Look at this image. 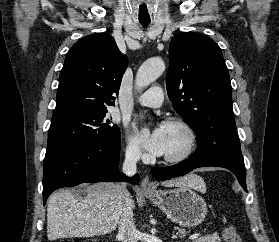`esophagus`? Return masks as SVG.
I'll return each mask as SVG.
<instances>
[{"label": "esophagus", "instance_id": "1", "mask_svg": "<svg viewBox=\"0 0 279 242\" xmlns=\"http://www.w3.org/2000/svg\"><path fill=\"white\" fill-rule=\"evenodd\" d=\"M141 190L143 192H153L156 190L155 185L149 180L148 177H144L141 182Z\"/></svg>", "mask_w": 279, "mask_h": 242}]
</instances>
